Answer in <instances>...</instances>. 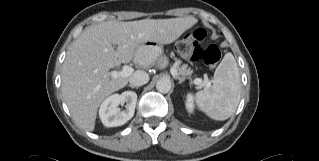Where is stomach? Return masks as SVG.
<instances>
[{
  "label": "stomach",
  "instance_id": "obj_1",
  "mask_svg": "<svg viewBox=\"0 0 319 161\" xmlns=\"http://www.w3.org/2000/svg\"><path fill=\"white\" fill-rule=\"evenodd\" d=\"M161 58L164 63L167 61L166 57L163 55L162 46L151 41L142 43L135 53V61L138 63H152Z\"/></svg>",
  "mask_w": 319,
  "mask_h": 161
}]
</instances>
